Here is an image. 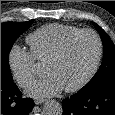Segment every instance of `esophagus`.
I'll use <instances>...</instances> for the list:
<instances>
[{
    "label": "esophagus",
    "mask_w": 115,
    "mask_h": 115,
    "mask_svg": "<svg viewBox=\"0 0 115 115\" xmlns=\"http://www.w3.org/2000/svg\"><path fill=\"white\" fill-rule=\"evenodd\" d=\"M34 102H35V104H42L43 102H45V99H43V98H36V99H34Z\"/></svg>",
    "instance_id": "esophagus-1"
}]
</instances>
